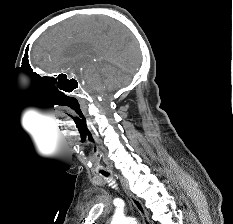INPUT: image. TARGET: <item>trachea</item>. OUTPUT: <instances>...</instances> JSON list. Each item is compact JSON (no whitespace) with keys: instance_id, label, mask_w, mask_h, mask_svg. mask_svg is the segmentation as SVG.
Instances as JSON below:
<instances>
[{"instance_id":"trachea-1","label":"trachea","mask_w":233,"mask_h":224,"mask_svg":"<svg viewBox=\"0 0 233 224\" xmlns=\"http://www.w3.org/2000/svg\"><path fill=\"white\" fill-rule=\"evenodd\" d=\"M101 174H102V175H104V176H106V177H108V176H109V174H108V173H106V172H101Z\"/></svg>"}]
</instances>
